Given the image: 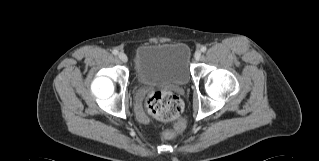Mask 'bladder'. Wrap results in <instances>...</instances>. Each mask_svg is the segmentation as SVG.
Masks as SVG:
<instances>
[{
    "instance_id": "bladder-1",
    "label": "bladder",
    "mask_w": 319,
    "mask_h": 161,
    "mask_svg": "<svg viewBox=\"0 0 319 161\" xmlns=\"http://www.w3.org/2000/svg\"><path fill=\"white\" fill-rule=\"evenodd\" d=\"M135 78L143 85L185 86L191 79V51L184 43H144L134 57Z\"/></svg>"
}]
</instances>
